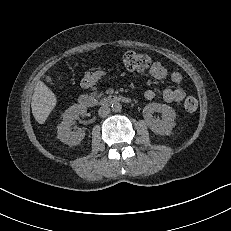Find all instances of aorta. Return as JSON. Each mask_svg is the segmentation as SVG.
Segmentation results:
<instances>
[{
  "instance_id": "1",
  "label": "aorta",
  "mask_w": 231,
  "mask_h": 231,
  "mask_svg": "<svg viewBox=\"0 0 231 231\" xmlns=\"http://www.w3.org/2000/svg\"><path fill=\"white\" fill-rule=\"evenodd\" d=\"M111 107H112V111L114 112H120L122 109V105L119 101H114Z\"/></svg>"
}]
</instances>
